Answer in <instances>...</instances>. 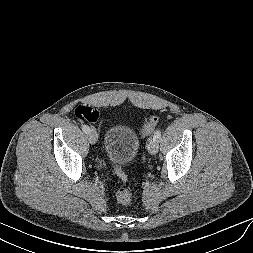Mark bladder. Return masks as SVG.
Instances as JSON below:
<instances>
[{"mask_svg": "<svg viewBox=\"0 0 253 253\" xmlns=\"http://www.w3.org/2000/svg\"><path fill=\"white\" fill-rule=\"evenodd\" d=\"M140 142L127 125H114L107 129L103 148L107 159L114 165H128L136 157Z\"/></svg>", "mask_w": 253, "mask_h": 253, "instance_id": "bladder-1", "label": "bladder"}]
</instances>
